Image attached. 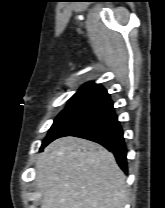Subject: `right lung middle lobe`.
<instances>
[{
    "label": "right lung middle lobe",
    "mask_w": 165,
    "mask_h": 208,
    "mask_svg": "<svg viewBox=\"0 0 165 208\" xmlns=\"http://www.w3.org/2000/svg\"><path fill=\"white\" fill-rule=\"evenodd\" d=\"M90 107L83 106H72L66 107L54 120L48 135L42 142L40 151L49 144L51 141L56 139L60 134H62L69 126L79 120L82 116L91 111Z\"/></svg>",
    "instance_id": "1"
}]
</instances>
